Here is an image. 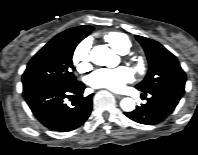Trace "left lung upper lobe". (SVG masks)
I'll use <instances>...</instances> for the list:
<instances>
[{"label":"left lung upper lobe","mask_w":198,"mask_h":155,"mask_svg":"<svg viewBox=\"0 0 198 155\" xmlns=\"http://www.w3.org/2000/svg\"><path fill=\"white\" fill-rule=\"evenodd\" d=\"M136 39L143 47L149 62V71L136 88L143 92L161 87L184 89L186 75L177 58L157 41L138 35Z\"/></svg>","instance_id":"obj_1"}]
</instances>
